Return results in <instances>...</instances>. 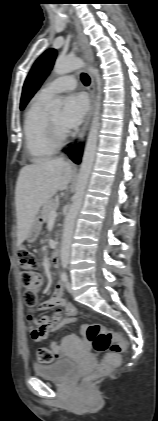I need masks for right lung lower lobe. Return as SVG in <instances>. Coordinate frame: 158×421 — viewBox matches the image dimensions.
<instances>
[{"label": "right lung lower lobe", "mask_w": 158, "mask_h": 421, "mask_svg": "<svg viewBox=\"0 0 158 421\" xmlns=\"http://www.w3.org/2000/svg\"><path fill=\"white\" fill-rule=\"evenodd\" d=\"M81 154H82V148H81V147H76L75 149H73V150L69 153V156H70V158H71V159H72L75 163H80Z\"/></svg>", "instance_id": "right-lung-lower-lobe-1"}]
</instances>
